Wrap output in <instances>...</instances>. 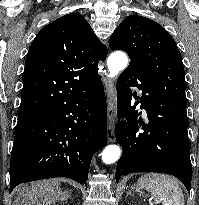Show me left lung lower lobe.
<instances>
[{
	"mask_svg": "<svg viewBox=\"0 0 199 205\" xmlns=\"http://www.w3.org/2000/svg\"><path fill=\"white\" fill-rule=\"evenodd\" d=\"M130 87L143 91L140 108L146 110V123L137 120L140 113L137 115L134 108L139 101L131 106ZM186 107L187 102L150 86L140 70L129 64L117 81V116L127 117V123L119 122L116 127V140L123 148L116 182L134 172L166 173L179 178L190 193L192 165Z\"/></svg>",
	"mask_w": 199,
	"mask_h": 205,
	"instance_id": "1",
	"label": "left lung lower lobe"
}]
</instances>
